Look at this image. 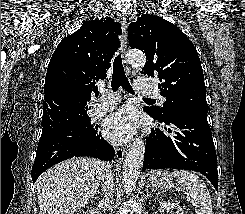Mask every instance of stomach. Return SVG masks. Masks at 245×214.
I'll return each mask as SVG.
<instances>
[{
  "mask_svg": "<svg viewBox=\"0 0 245 214\" xmlns=\"http://www.w3.org/2000/svg\"><path fill=\"white\" fill-rule=\"evenodd\" d=\"M149 182L154 188L162 191L174 186L173 176L169 171H152L149 176Z\"/></svg>",
  "mask_w": 245,
  "mask_h": 214,
  "instance_id": "1",
  "label": "stomach"
}]
</instances>
